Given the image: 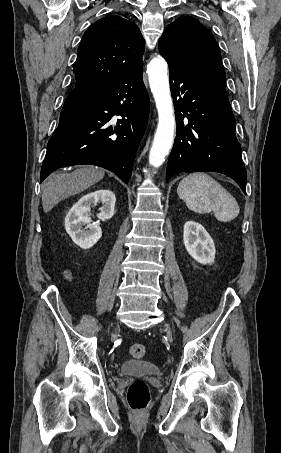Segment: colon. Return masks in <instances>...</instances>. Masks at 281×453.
<instances>
[{
    "label": "colon",
    "instance_id": "obj_1",
    "mask_svg": "<svg viewBox=\"0 0 281 453\" xmlns=\"http://www.w3.org/2000/svg\"><path fill=\"white\" fill-rule=\"evenodd\" d=\"M147 354L145 345H133L131 355L134 359H143ZM127 401L129 409L134 413H143L149 404V394L147 384L144 380H134L127 390Z\"/></svg>",
    "mask_w": 281,
    "mask_h": 453
}]
</instances>
